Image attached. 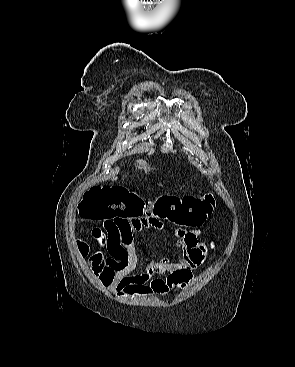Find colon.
I'll return each mask as SVG.
<instances>
[{
	"label": "colon",
	"mask_w": 295,
	"mask_h": 367,
	"mask_svg": "<svg viewBox=\"0 0 295 367\" xmlns=\"http://www.w3.org/2000/svg\"><path fill=\"white\" fill-rule=\"evenodd\" d=\"M213 196L206 193L200 197H177L162 195L154 202H143L135 193L122 185L94 186L83 196L78 205L82 217L102 222L154 218L170 220L184 227H200L213 207ZM99 236V231L94 232ZM80 250L87 255V244L80 243ZM95 272L103 263L101 256L92 257Z\"/></svg>",
	"instance_id": "5ec220e1"
}]
</instances>
